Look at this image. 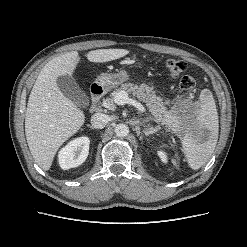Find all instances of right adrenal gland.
Here are the masks:
<instances>
[{"mask_svg": "<svg viewBox=\"0 0 247 247\" xmlns=\"http://www.w3.org/2000/svg\"><path fill=\"white\" fill-rule=\"evenodd\" d=\"M90 129L94 130V127L91 125H87Z\"/></svg>", "mask_w": 247, "mask_h": 247, "instance_id": "obj_1", "label": "right adrenal gland"}]
</instances>
